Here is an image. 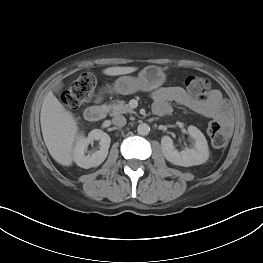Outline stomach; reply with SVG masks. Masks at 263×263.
Wrapping results in <instances>:
<instances>
[{"instance_id": "1", "label": "stomach", "mask_w": 263, "mask_h": 263, "mask_svg": "<svg viewBox=\"0 0 263 263\" xmlns=\"http://www.w3.org/2000/svg\"><path fill=\"white\" fill-rule=\"evenodd\" d=\"M165 79L166 76L162 68L150 65L142 69L138 77H119L111 90L122 95L133 94L137 91H151L160 87Z\"/></svg>"}]
</instances>
